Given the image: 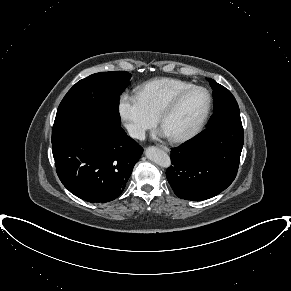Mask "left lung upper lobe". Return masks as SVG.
<instances>
[{"label": "left lung upper lobe", "mask_w": 291, "mask_h": 291, "mask_svg": "<svg viewBox=\"0 0 291 291\" xmlns=\"http://www.w3.org/2000/svg\"><path fill=\"white\" fill-rule=\"evenodd\" d=\"M213 89L214 113L208 126L221 121L241 122L238 104L232 93L213 79H208Z\"/></svg>", "instance_id": "1"}]
</instances>
